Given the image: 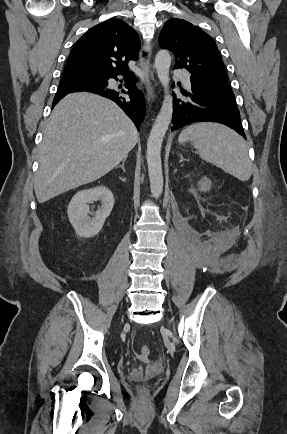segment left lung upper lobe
I'll use <instances>...</instances> for the list:
<instances>
[{
  "label": "left lung upper lobe",
  "mask_w": 287,
  "mask_h": 434,
  "mask_svg": "<svg viewBox=\"0 0 287 434\" xmlns=\"http://www.w3.org/2000/svg\"><path fill=\"white\" fill-rule=\"evenodd\" d=\"M159 44L174 53V68H185L191 77L232 91L216 43L200 28L188 21L172 18L164 24Z\"/></svg>",
  "instance_id": "obj_1"
}]
</instances>
